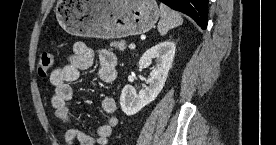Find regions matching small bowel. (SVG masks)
Returning <instances> with one entry per match:
<instances>
[{
	"label": "small bowel",
	"instance_id": "1",
	"mask_svg": "<svg viewBox=\"0 0 276 145\" xmlns=\"http://www.w3.org/2000/svg\"><path fill=\"white\" fill-rule=\"evenodd\" d=\"M93 56V51L85 43L75 42L67 64L54 69L49 76V81L55 88L51 101L52 107L56 117L68 126L64 135L68 145H72L76 140L80 145H107L113 128L118 124L115 115L117 111L116 101L112 97H104L101 101V108L107 118L106 122L97 129L95 137L73 126V109L69 104L74 95L71 83L79 79L82 71L90 68ZM98 60V79L105 84L113 83L116 79V55L111 51L101 50Z\"/></svg>",
	"mask_w": 276,
	"mask_h": 145
}]
</instances>
